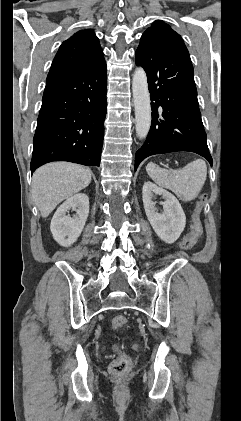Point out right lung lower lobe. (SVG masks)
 I'll return each instance as SVG.
<instances>
[{"label": "right lung lower lobe", "mask_w": 241, "mask_h": 421, "mask_svg": "<svg viewBox=\"0 0 241 421\" xmlns=\"http://www.w3.org/2000/svg\"><path fill=\"white\" fill-rule=\"evenodd\" d=\"M106 63L46 82L31 172L52 161L99 166L106 116Z\"/></svg>", "instance_id": "obj_1"}]
</instances>
